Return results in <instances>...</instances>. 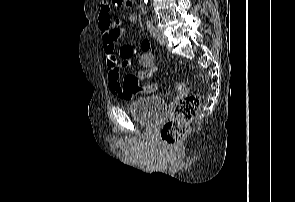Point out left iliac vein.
<instances>
[{
	"label": "left iliac vein",
	"instance_id": "4c4485c4",
	"mask_svg": "<svg viewBox=\"0 0 295 202\" xmlns=\"http://www.w3.org/2000/svg\"><path fill=\"white\" fill-rule=\"evenodd\" d=\"M157 41L160 45H165L167 43V37L161 33L157 31Z\"/></svg>",
	"mask_w": 295,
	"mask_h": 202
}]
</instances>
